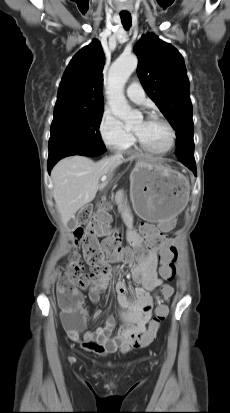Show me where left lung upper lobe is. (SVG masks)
<instances>
[{
	"instance_id": "1",
	"label": "left lung upper lobe",
	"mask_w": 230,
	"mask_h": 413,
	"mask_svg": "<svg viewBox=\"0 0 230 413\" xmlns=\"http://www.w3.org/2000/svg\"><path fill=\"white\" fill-rule=\"evenodd\" d=\"M133 50L144 90L176 131V156L182 163L195 162L189 79L182 55L154 34L143 36Z\"/></svg>"
}]
</instances>
